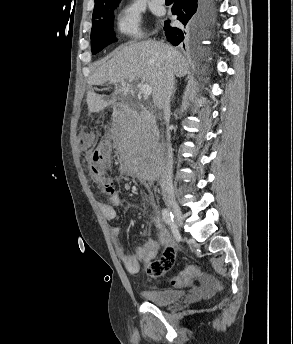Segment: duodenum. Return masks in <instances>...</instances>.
<instances>
[{"instance_id": "duodenum-1", "label": "duodenum", "mask_w": 293, "mask_h": 344, "mask_svg": "<svg viewBox=\"0 0 293 344\" xmlns=\"http://www.w3.org/2000/svg\"><path fill=\"white\" fill-rule=\"evenodd\" d=\"M115 113L118 117L122 118L124 121L136 122L139 118L146 123L148 126L154 125V120L151 115L147 112H140L138 115L127 113L123 107L117 106L115 108Z\"/></svg>"}]
</instances>
